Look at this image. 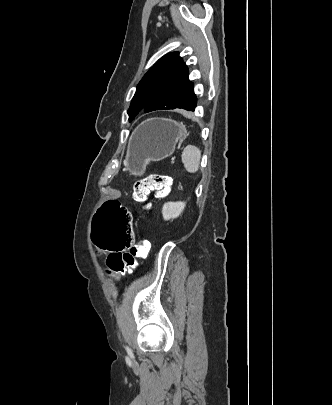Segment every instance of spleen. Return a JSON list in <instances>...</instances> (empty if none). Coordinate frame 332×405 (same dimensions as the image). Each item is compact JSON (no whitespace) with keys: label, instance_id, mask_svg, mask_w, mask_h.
Returning a JSON list of instances; mask_svg holds the SVG:
<instances>
[{"label":"spleen","instance_id":"1","mask_svg":"<svg viewBox=\"0 0 332 405\" xmlns=\"http://www.w3.org/2000/svg\"><path fill=\"white\" fill-rule=\"evenodd\" d=\"M182 162L189 173H195L199 169L201 151L196 146L187 145L182 152Z\"/></svg>","mask_w":332,"mask_h":405}]
</instances>
